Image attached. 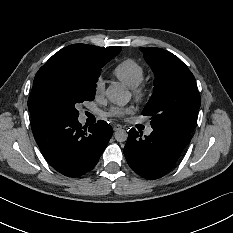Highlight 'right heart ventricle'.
Segmentation results:
<instances>
[{"label": "right heart ventricle", "instance_id": "obj_1", "mask_svg": "<svg viewBox=\"0 0 233 233\" xmlns=\"http://www.w3.org/2000/svg\"><path fill=\"white\" fill-rule=\"evenodd\" d=\"M113 73L124 85L134 88L143 81L145 72L139 61L126 58L115 66Z\"/></svg>", "mask_w": 233, "mask_h": 233}]
</instances>
